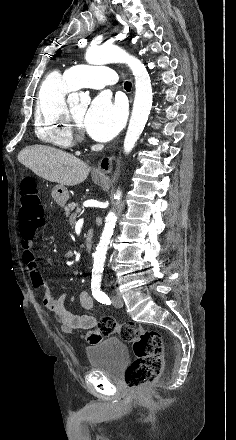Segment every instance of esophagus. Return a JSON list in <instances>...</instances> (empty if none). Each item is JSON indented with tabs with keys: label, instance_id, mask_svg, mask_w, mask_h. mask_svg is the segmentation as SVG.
Masks as SVG:
<instances>
[{
	"label": "esophagus",
	"instance_id": "1",
	"mask_svg": "<svg viewBox=\"0 0 236 440\" xmlns=\"http://www.w3.org/2000/svg\"><path fill=\"white\" fill-rule=\"evenodd\" d=\"M113 161L111 157H103L98 163V166L94 169V174L97 176L105 177L112 171Z\"/></svg>",
	"mask_w": 236,
	"mask_h": 440
}]
</instances>
